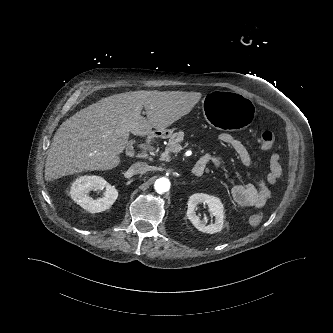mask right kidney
Masks as SVG:
<instances>
[{
  "mask_svg": "<svg viewBox=\"0 0 333 333\" xmlns=\"http://www.w3.org/2000/svg\"><path fill=\"white\" fill-rule=\"evenodd\" d=\"M105 193L102 198L94 200L87 193L92 190H102ZM71 198L85 210L97 213L109 209L118 197L117 189L100 176H82L72 183Z\"/></svg>",
  "mask_w": 333,
  "mask_h": 333,
  "instance_id": "ca27d5eb",
  "label": "right kidney"
}]
</instances>
